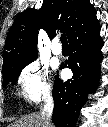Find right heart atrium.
Returning a JSON list of instances; mask_svg holds the SVG:
<instances>
[{
  "mask_svg": "<svg viewBox=\"0 0 108 127\" xmlns=\"http://www.w3.org/2000/svg\"><path fill=\"white\" fill-rule=\"evenodd\" d=\"M18 83L22 97L30 103H38L51 95L49 71L39 62L27 64L18 76Z\"/></svg>",
  "mask_w": 108,
  "mask_h": 127,
  "instance_id": "right-heart-atrium-1",
  "label": "right heart atrium"
}]
</instances>
